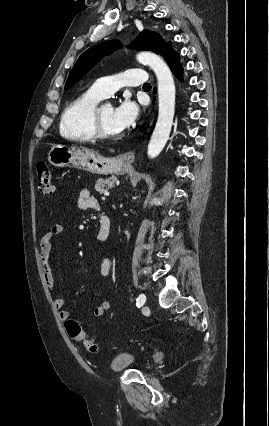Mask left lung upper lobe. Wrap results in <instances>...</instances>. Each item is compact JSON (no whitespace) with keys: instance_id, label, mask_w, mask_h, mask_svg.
I'll return each instance as SVG.
<instances>
[{"instance_id":"1","label":"left lung upper lobe","mask_w":269,"mask_h":426,"mask_svg":"<svg viewBox=\"0 0 269 426\" xmlns=\"http://www.w3.org/2000/svg\"><path fill=\"white\" fill-rule=\"evenodd\" d=\"M166 43L159 34L149 30H143L136 41L133 43L132 48L136 50H150L157 54L169 45ZM119 47L117 40L108 41L99 45L93 46L86 50L77 60L72 68L67 79L65 89L71 88L77 83L102 57L116 50Z\"/></svg>"}]
</instances>
